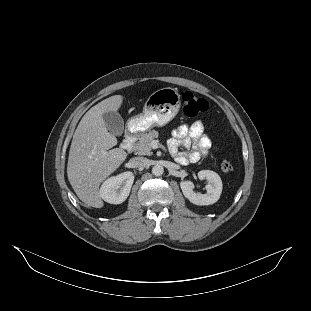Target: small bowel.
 Returning <instances> with one entry per match:
<instances>
[{
    "label": "small bowel",
    "mask_w": 311,
    "mask_h": 311,
    "mask_svg": "<svg viewBox=\"0 0 311 311\" xmlns=\"http://www.w3.org/2000/svg\"><path fill=\"white\" fill-rule=\"evenodd\" d=\"M168 147L174 159L179 164L186 165L207 157L212 142L204 133L203 123L195 121L191 125H181L175 129Z\"/></svg>",
    "instance_id": "1"
}]
</instances>
